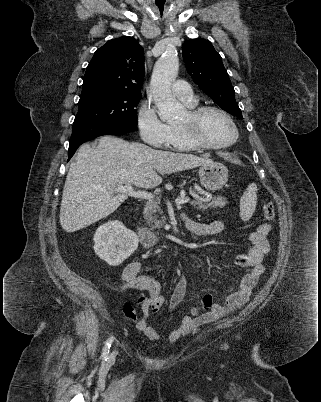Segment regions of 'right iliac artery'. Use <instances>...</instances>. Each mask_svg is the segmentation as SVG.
Wrapping results in <instances>:
<instances>
[{
    "label": "right iliac artery",
    "mask_w": 321,
    "mask_h": 402,
    "mask_svg": "<svg viewBox=\"0 0 321 402\" xmlns=\"http://www.w3.org/2000/svg\"><path fill=\"white\" fill-rule=\"evenodd\" d=\"M113 340H114V338H113V337H110V338H108V339L106 340V342H105V345H104V348H103V352H102V357H103L104 360H107V359H108L109 350H110V347H111V345H112Z\"/></svg>",
    "instance_id": "82829eb1"
}]
</instances>
